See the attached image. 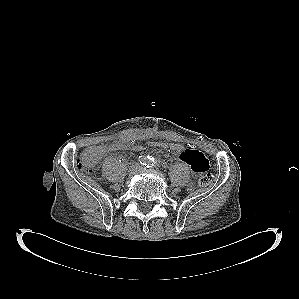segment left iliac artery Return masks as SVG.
Here are the masks:
<instances>
[{"mask_svg":"<svg viewBox=\"0 0 299 299\" xmlns=\"http://www.w3.org/2000/svg\"><path fill=\"white\" fill-rule=\"evenodd\" d=\"M154 164H157V161H155L154 159L151 158L147 163V167L148 168L152 167V166H154Z\"/></svg>","mask_w":299,"mask_h":299,"instance_id":"obj_1","label":"left iliac artery"}]
</instances>
